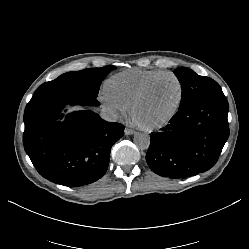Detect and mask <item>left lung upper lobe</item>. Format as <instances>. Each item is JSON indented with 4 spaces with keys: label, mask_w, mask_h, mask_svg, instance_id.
<instances>
[{
    "label": "left lung upper lobe",
    "mask_w": 249,
    "mask_h": 249,
    "mask_svg": "<svg viewBox=\"0 0 249 249\" xmlns=\"http://www.w3.org/2000/svg\"><path fill=\"white\" fill-rule=\"evenodd\" d=\"M174 74L182 85V99L179 108L201 97L223 94L216 81L200 76L189 68L179 67L174 70Z\"/></svg>",
    "instance_id": "5c2ea615"
}]
</instances>
